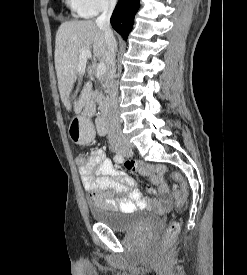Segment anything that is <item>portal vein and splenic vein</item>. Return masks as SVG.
Masks as SVG:
<instances>
[{
    "label": "portal vein and splenic vein",
    "instance_id": "18ae733b",
    "mask_svg": "<svg viewBox=\"0 0 247 275\" xmlns=\"http://www.w3.org/2000/svg\"><path fill=\"white\" fill-rule=\"evenodd\" d=\"M92 58V53L89 50H82L80 53V65L78 70L83 72L85 70V63L88 59ZM96 72L98 76H103L106 73V66L103 63L97 65Z\"/></svg>",
    "mask_w": 247,
    "mask_h": 275
}]
</instances>
